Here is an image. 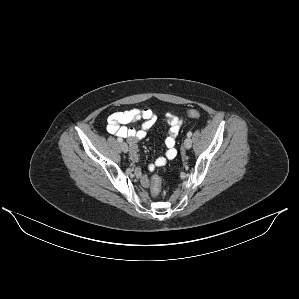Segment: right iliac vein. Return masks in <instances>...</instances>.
<instances>
[{"label": "right iliac vein", "instance_id": "63e3f726", "mask_svg": "<svg viewBox=\"0 0 299 299\" xmlns=\"http://www.w3.org/2000/svg\"><path fill=\"white\" fill-rule=\"evenodd\" d=\"M120 148L124 153L128 152V145L125 142L120 143Z\"/></svg>", "mask_w": 299, "mask_h": 299}]
</instances>
